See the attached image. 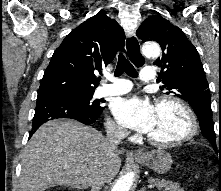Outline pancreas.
Returning <instances> with one entry per match:
<instances>
[{"instance_id": "cf45deb5", "label": "pancreas", "mask_w": 221, "mask_h": 191, "mask_svg": "<svg viewBox=\"0 0 221 191\" xmlns=\"http://www.w3.org/2000/svg\"><path fill=\"white\" fill-rule=\"evenodd\" d=\"M148 182L153 186H156L158 190L162 191H184L179 184L166 180L149 178Z\"/></svg>"}]
</instances>
